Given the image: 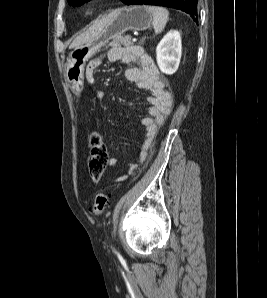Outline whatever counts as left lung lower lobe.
Returning <instances> with one entry per match:
<instances>
[{
	"mask_svg": "<svg viewBox=\"0 0 267 298\" xmlns=\"http://www.w3.org/2000/svg\"><path fill=\"white\" fill-rule=\"evenodd\" d=\"M127 5H158L182 10L191 15L195 22L197 19V0H127Z\"/></svg>",
	"mask_w": 267,
	"mask_h": 298,
	"instance_id": "left-lung-lower-lobe-1",
	"label": "left lung lower lobe"
}]
</instances>
